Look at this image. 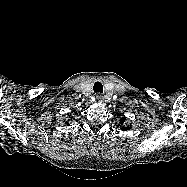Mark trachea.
<instances>
[{
	"label": "trachea",
	"mask_w": 187,
	"mask_h": 187,
	"mask_svg": "<svg viewBox=\"0 0 187 187\" xmlns=\"http://www.w3.org/2000/svg\"><path fill=\"white\" fill-rule=\"evenodd\" d=\"M93 90L94 92L103 93V85L100 82H95Z\"/></svg>",
	"instance_id": "trachea-1"
}]
</instances>
